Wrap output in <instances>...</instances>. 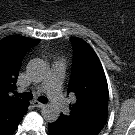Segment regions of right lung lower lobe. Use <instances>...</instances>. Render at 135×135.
<instances>
[{
  "label": "right lung lower lobe",
  "mask_w": 135,
  "mask_h": 135,
  "mask_svg": "<svg viewBox=\"0 0 135 135\" xmlns=\"http://www.w3.org/2000/svg\"><path fill=\"white\" fill-rule=\"evenodd\" d=\"M28 105H29V102L27 103V109H28ZM22 118H23V116H22ZM22 118H21V120H22ZM19 122L16 125H14L12 128H10L9 130H4V131L1 130L0 135H11L18 127Z\"/></svg>",
  "instance_id": "obj_1"
}]
</instances>
